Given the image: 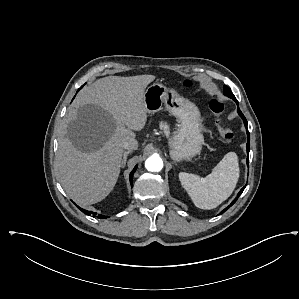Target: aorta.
I'll return each mask as SVG.
<instances>
[{
  "instance_id": "1",
  "label": "aorta",
  "mask_w": 299,
  "mask_h": 299,
  "mask_svg": "<svg viewBox=\"0 0 299 299\" xmlns=\"http://www.w3.org/2000/svg\"><path fill=\"white\" fill-rule=\"evenodd\" d=\"M145 168L151 172H159L163 168V160L158 155H152L145 161Z\"/></svg>"
}]
</instances>
